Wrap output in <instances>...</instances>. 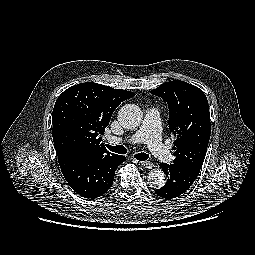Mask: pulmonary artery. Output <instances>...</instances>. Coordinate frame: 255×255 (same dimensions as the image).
Instances as JSON below:
<instances>
[{"label": "pulmonary artery", "mask_w": 255, "mask_h": 255, "mask_svg": "<svg viewBox=\"0 0 255 255\" xmlns=\"http://www.w3.org/2000/svg\"><path fill=\"white\" fill-rule=\"evenodd\" d=\"M161 112L156 108L147 110L140 128L131 136L121 138L109 136L110 144H146L149 150L160 160L170 162L173 158L172 153L162 143L160 135Z\"/></svg>", "instance_id": "obj_1"}]
</instances>
